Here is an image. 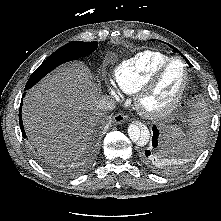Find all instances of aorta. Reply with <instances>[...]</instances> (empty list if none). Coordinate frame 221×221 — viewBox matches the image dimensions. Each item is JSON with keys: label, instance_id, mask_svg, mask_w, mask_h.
I'll return each mask as SVG.
<instances>
[{"label": "aorta", "instance_id": "762f6f07", "mask_svg": "<svg viewBox=\"0 0 221 221\" xmlns=\"http://www.w3.org/2000/svg\"><path fill=\"white\" fill-rule=\"evenodd\" d=\"M128 136L140 146H145L150 140V132L144 125L130 124L128 127Z\"/></svg>", "mask_w": 221, "mask_h": 221}]
</instances>
